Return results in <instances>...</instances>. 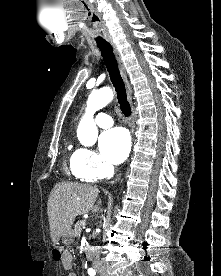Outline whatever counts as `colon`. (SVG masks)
<instances>
[{
  "label": "colon",
  "mask_w": 221,
  "mask_h": 276,
  "mask_svg": "<svg viewBox=\"0 0 221 276\" xmlns=\"http://www.w3.org/2000/svg\"><path fill=\"white\" fill-rule=\"evenodd\" d=\"M66 250L65 246H54L53 247V257L56 261H60L63 258V251Z\"/></svg>",
  "instance_id": "5ec220e1"
}]
</instances>
